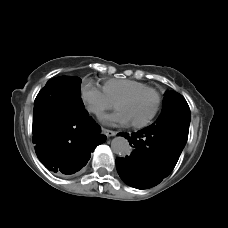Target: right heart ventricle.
<instances>
[{
    "instance_id": "right-heart-ventricle-1",
    "label": "right heart ventricle",
    "mask_w": 228,
    "mask_h": 228,
    "mask_svg": "<svg viewBox=\"0 0 228 228\" xmlns=\"http://www.w3.org/2000/svg\"><path fill=\"white\" fill-rule=\"evenodd\" d=\"M149 88L148 84L131 79H110L103 85L104 94L115 105L125 97Z\"/></svg>"
}]
</instances>
